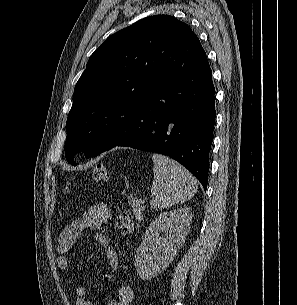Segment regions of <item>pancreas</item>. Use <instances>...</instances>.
I'll use <instances>...</instances> for the list:
<instances>
[{
  "label": "pancreas",
  "instance_id": "pancreas-1",
  "mask_svg": "<svg viewBox=\"0 0 297 305\" xmlns=\"http://www.w3.org/2000/svg\"><path fill=\"white\" fill-rule=\"evenodd\" d=\"M129 204L133 208L134 215L139 218L142 217V211L144 210V207L142 206L143 202L137 200L136 198L132 199Z\"/></svg>",
  "mask_w": 297,
  "mask_h": 305
}]
</instances>
